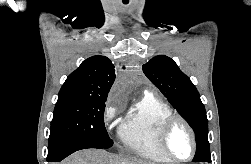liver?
Here are the masks:
<instances>
[{"label":"liver","instance_id":"liver-1","mask_svg":"<svg viewBox=\"0 0 251 164\" xmlns=\"http://www.w3.org/2000/svg\"><path fill=\"white\" fill-rule=\"evenodd\" d=\"M60 164H154L131 157H122L105 150L86 149L78 151Z\"/></svg>","mask_w":251,"mask_h":164}]
</instances>
